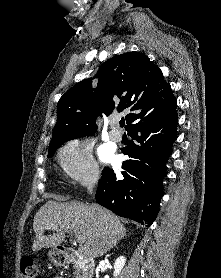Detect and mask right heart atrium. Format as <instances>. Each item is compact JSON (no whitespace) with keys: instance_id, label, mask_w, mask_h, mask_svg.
Segmentation results:
<instances>
[{"instance_id":"right-heart-atrium-1","label":"right heart atrium","mask_w":221,"mask_h":278,"mask_svg":"<svg viewBox=\"0 0 221 278\" xmlns=\"http://www.w3.org/2000/svg\"><path fill=\"white\" fill-rule=\"evenodd\" d=\"M60 165L65 174L79 184L98 180L100 170L93 156L90 140L75 137L68 140L58 152Z\"/></svg>"}]
</instances>
